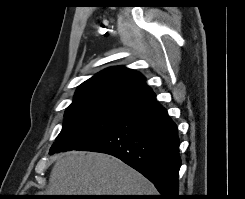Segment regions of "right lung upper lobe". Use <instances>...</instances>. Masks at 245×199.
I'll use <instances>...</instances> for the list:
<instances>
[{
	"instance_id": "right-lung-upper-lobe-1",
	"label": "right lung upper lobe",
	"mask_w": 245,
	"mask_h": 199,
	"mask_svg": "<svg viewBox=\"0 0 245 199\" xmlns=\"http://www.w3.org/2000/svg\"><path fill=\"white\" fill-rule=\"evenodd\" d=\"M156 104L144 76L125 67H110L82 83L68 108L90 106L130 115Z\"/></svg>"
}]
</instances>
